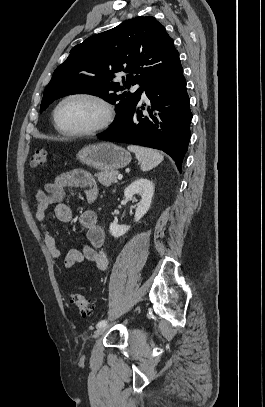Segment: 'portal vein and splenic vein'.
<instances>
[{"mask_svg": "<svg viewBox=\"0 0 265 407\" xmlns=\"http://www.w3.org/2000/svg\"><path fill=\"white\" fill-rule=\"evenodd\" d=\"M123 175L122 174H118L117 178L118 179H122Z\"/></svg>", "mask_w": 265, "mask_h": 407, "instance_id": "1", "label": "portal vein and splenic vein"}]
</instances>
